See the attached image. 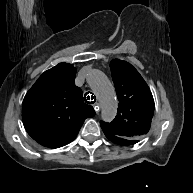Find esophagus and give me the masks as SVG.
Returning <instances> with one entry per match:
<instances>
[{
	"label": "esophagus",
	"instance_id": "esophagus-1",
	"mask_svg": "<svg viewBox=\"0 0 193 193\" xmlns=\"http://www.w3.org/2000/svg\"><path fill=\"white\" fill-rule=\"evenodd\" d=\"M94 110H95L96 113H98L100 111V105H99L98 102L95 103Z\"/></svg>",
	"mask_w": 193,
	"mask_h": 193
}]
</instances>
